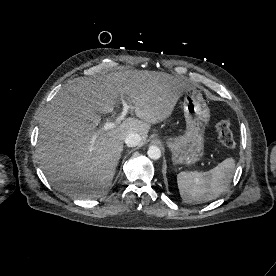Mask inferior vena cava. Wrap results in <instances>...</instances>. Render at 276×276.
<instances>
[{"label": "inferior vena cava", "mask_w": 276, "mask_h": 276, "mask_svg": "<svg viewBox=\"0 0 276 276\" xmlns=\"http://www.w3.org/2000/svg\"><path fill=\"white\" fill-rule=\"evenodd\" d=\"M141 142V137L138 133H129L125 138V144L128 147H135Z\"/></svg>", "instance_id": "1"}]
</instances>
